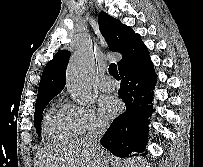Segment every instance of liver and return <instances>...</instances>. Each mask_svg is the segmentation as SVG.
I'll return each instance as SVG.
<instances>
[{"label": "liver", "mask_w": 203, "mask_h": 167, "mask_svg": "<svg viewBox=\"0 0 203 167\" xmlns=\"http://www.w3.org/2000/svg\"><path fill=\"white\" fill-rule=\"evenodd\" d=\"M104 151L93 149L85 140L53 144L37 155L35 167H105Z\"/></svg>", "instance_id": "obj_1"}]
</instances>
